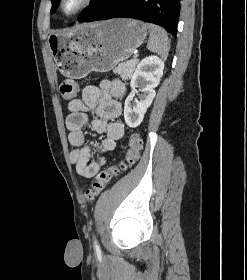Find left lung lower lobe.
I'll return each instance as SVG.
<instances>
[{
	"label": "left lung lower lobe",
	"mask_w": 247,
	"mask_h": 280,
	"mask_svg": "<svg viewBox=\"0 0 247 280\" xmlns=\"http://www.w3.org/2000/svg\"><path fill=\"white\" fill-rule=\"evenodd\" d=\"M180 0H108L79 22H92L127 17L162 26L174 37L177 35Z\"/></svg>",
	"instance_id": "left-lung-lower-lobe-1"
}]
</instances>
